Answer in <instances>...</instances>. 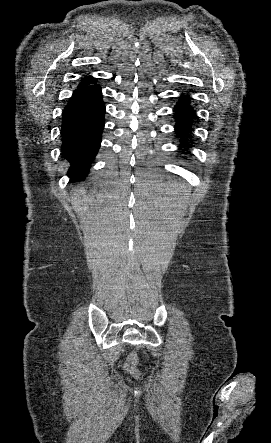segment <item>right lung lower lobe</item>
I'll return each mask as SVG.
<instances>
[{"mask_svg": "<svg viewBox=\"0 0 271 443\" xmlns=\"http://www.w3.org/2000/svg\"><path fill=\"white\" fill-rule=\"evenodd\" d=\"M105 104L94 79L82 80L62 114V155L70 162L71 182L84 179L98 149L104 128Z\"/></svg>", "mask_w": 271, "mask_h": 443, "instance_id": "98d812e1", "label": "right lung lower lobe"}]
</instances>
